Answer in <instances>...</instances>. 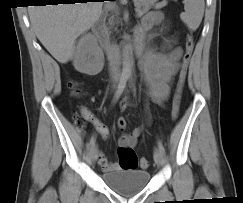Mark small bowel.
I'll return each mask as SVG.
<instances>
[{
  "instance_id": "small-bowel-1",
  "label": "small bowel",
  "mask_w": 243,
  "mask_h": 203,
  "mask_svg": "<svg viewBox=\"0 0 243 203\" xmlns=\"http://www.w3.org/2000/svg\"><path fill=\"white\" fill-rule=\"evenodd\" d=\"M161 18L162 16L159 12L147 14L142 19L141 25L138 28L137 38L140 40L146 39L148 42L140 60V68L144 82L147 85L148 96L153 102L163 105L169 97L170 85L179 70L182 50L180 48L170 49L169 46H166L162 51L154 49L152 45V41L156 35L154 28L160 23ZM129 105L130 102L124 100L120 108L125 110ZM84 111L87 113V119L93 124L96 131L106 139L109 136L108 127L88 110ZM147 121L149 122V120ZM117 126L121 131H124L127 126L126 120L120 117L117 120ZM141 131V128H135L131 133H123L119 138V145L134 147L141 135ZM98 162L106 172L120 168L118 163L109 162L102 152L98 153Z\"/></svg>"
}]
</instances>
